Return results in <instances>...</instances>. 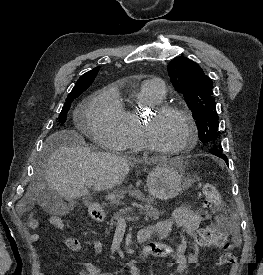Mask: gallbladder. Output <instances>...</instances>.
I'll return each mask as SVG.
<instances>
[{"label": "gallbladder", "instance_id": "1", "mask_svg": "<svg viewBox=\"0 0 263 275\" xmlns=\"http://www.w3.org/2000/svg\"><path fill=\"white\" fill-rule=\"evenodd\" d=\"M37 199L42 209L51 215L63 216L70 210V204H67L57 191L49 187L41 190Z\"/></svg>", "mask_w": 263, "mask_h": 275}]
</instances>
